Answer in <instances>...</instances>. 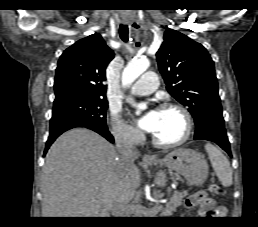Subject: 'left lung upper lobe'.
<instances>
[{"mask_svg":"<svg viewBox=\"0 0 258 227\" xmlns=\"http://www.w3.org/2000/svg\"><path fill=\"white\" fill-rule=\"evenodd\" d=\"M156 56L166 89L188 107L195 120V135L212 125L224 126L214 62L207 50L167 29Z\"/></svg>","mask_w":258,"mask_h":227,"instance_id":"left-lung-upper-lobe-1","label":"left lung upper lobe"}]
</instances>
